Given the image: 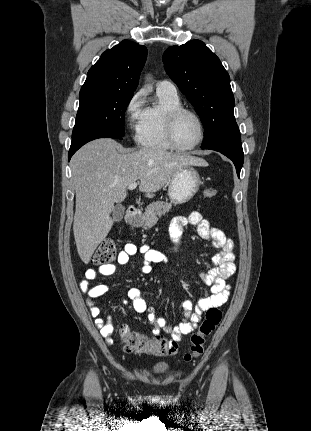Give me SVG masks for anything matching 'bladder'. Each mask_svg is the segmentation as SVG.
Returning <instances> with one entry per match:
<instances>
[{"instance_id":"31cf9c89","label":"bladder","mask_w":311,"mask_h":431,"mask_svg":"<svg viewBox=\"0 0 311 431\" xmlns=\"http://www.w3.org/2000/svg\"><path fill=\"white\" fill-rule=\"evenodd\" d=\"M169 370L170 366L168 364H157L152 368V371L156 374H166Z\"/></svg>"}]
</instances>
